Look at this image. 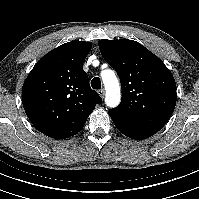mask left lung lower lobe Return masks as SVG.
I'll return each mask as SVG.
<instances>
[{
    "label": "left lung lower lobe",
    "mask_w": 199,
    "mask_h": 199,
    "mask_svg": "<svg viewBox=\"0 0 199 199\" xmlns=\"http://www.w3.org/2000/svg\"><path fill=\"white\" fill-rule=\"evenodd\" d=\"M109 115L115 124L116 128L123 133L124 135L128 136L129 138L141 140L148 138L152 135H154L155 131H152L150 129L144 128L142 126H139L137 124H134L124 118L123 116L119 115L118 113L110 110Z\"/></svg>",
    "instance_id": "1"
}]
</instances>
